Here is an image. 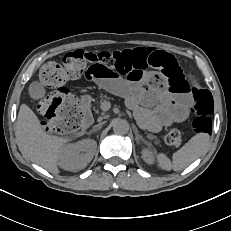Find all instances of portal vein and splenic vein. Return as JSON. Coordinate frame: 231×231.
<instances>
[{"label": "portal vein and splenic vein", "instance_id": "obj_1", "mask_svg": "<svg viewBox=\"0 0 231 231\" xmlns=\"http://www.w3.org/2000/svg\"><path fill=\"white\" fill-rule=\"evenodd\" d=\"M111 108V103L109 101H103L101 103V110L102 111H108Z\"/></svg>", "mask_w": 231, "mask_h": 231}]
</instances>
